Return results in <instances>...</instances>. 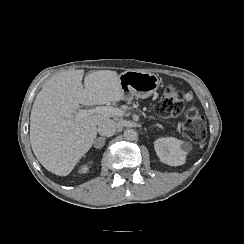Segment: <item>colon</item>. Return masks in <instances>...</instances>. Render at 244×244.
<instances>
[{
  "label": "colon",
  "instance_id": "obj_1",
  "mask_svg": "<svg viewBox=\"0 0 244 244\" xmlns=\"http://www.w3.org/2000/svg\"><path fill=\"white\" fill-rule=\"evenodd\" d=\"M184 94L174 85H168L157 103L156 110L161 117H180L185 120L184 130L194 143H201L206 138V121L200 110L184 102Z\"/></svg>",
  "mask_w": 244,
  "mask_h": 244
}]
</instances>
